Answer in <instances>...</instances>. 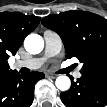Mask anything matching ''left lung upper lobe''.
<instances>
[{
    "label": "left lung upper lobe",
    "instance_id": "obj_1",
    "mask_svg": "<svg viewBox=\"0 0 107 107\" xmlns=\"http://www.w3.org/2000/svg\"><path fill=\"white\" fill-rule=\"evenodd\" d=\"M42 24L57 32L65 46L66 58L83 62V76L107 81V20L97 14L75 10L51 14Z\"/></svg>",
    "mask_w": 107,
    "mask_h": 107
}]
</instances>
